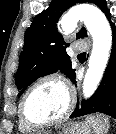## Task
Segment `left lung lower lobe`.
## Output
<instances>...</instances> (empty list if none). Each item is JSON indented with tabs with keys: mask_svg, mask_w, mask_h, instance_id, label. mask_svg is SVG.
<instances>
[{
	"mask_svg": "<svg viewBox=\"0 0 116 134\" xmlns=\"http://www.w3.org/2000/svg\"><path fill=\"white\" fill-rule=\"evenodd\" d=\"M105 15L110 20L109 10L105 12ZM110 25L113 32V44L102 81L89 99L82 100L80 105L77 104L70 118L100 112L116 119V27L112 22ZM75 76L71 79L74 83H76Z\"/></svg>",
	"mask_w": 116,
	"mask_h": 134,
	"instance_id": "obj_1",
	"label": "left lung lower lobe"
}]
</instances>
